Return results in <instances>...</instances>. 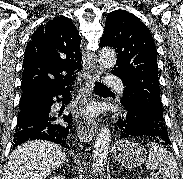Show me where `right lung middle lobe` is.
I'll return each instance as SVG.
<instances>
[{
    "instance_id": "1",
    "label": "right lung middle lobe",
    "mask_w": 183,
    "mask_h": 179,
    "mask_svg": "<svg viewBox=\"0 0 183 179\" xmlns=\"http://www.w3.org/2000/svg\"><path fill=\"white\" fill-rule=\"evenodd\" d=\"M26 102H27L26 98L25 97H21L20 103H19V109L20 110L23 109V107L25 106Z\"/></svg>"
}]
</instances>
